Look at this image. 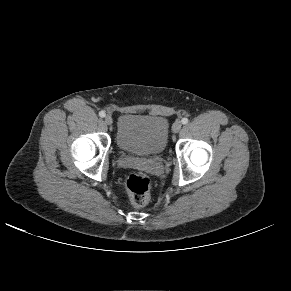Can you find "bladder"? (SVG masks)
Masks as SVG:
<instances>
[{
    "label": "bladder",
    "instance_id": "obj_1",
    "mask_svg": "<svg viewBox=\"0 0 291 291\" xmlns=\"http://www.w3.org/2000/svg\"><path fill=\"white\" fill-rule=\"evenodd\" d=\"M169 122L160 115L124 114L117 124L116 143L123 152L154 156L166 148Z\"/></svg>",
    "mask_w": 291,
    "mask_h": 291
}]
</instances>
